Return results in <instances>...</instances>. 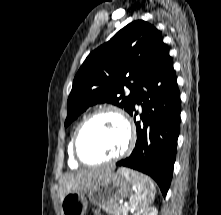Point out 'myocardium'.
I'll list each match as a JSON object with an SVG mask.
<instances>
[{"instance_id": "myocardium-1", "label": "myocardium", "mask_w": 221, "mask_h": 215, "mask_svg": "<svg viewBox=\"0 0 221 215\" xmlns=\"http://www.w3.org/2000/svg\"><path fill=\"white\" fill-rule=\"evenodd\" d=\"M105 113L114 114L122 122V124L126 130L125 145L120 152H118L117 154H115L107 159L100 160V161H88L81 155V152L79 149V142H80L81 135H82L84 129L87 127V125L92 120H94L96 117H98L102 114H105ZM135 140H136V131H135L134 125L132 124V122L129 119V117L127 116V114L122 109H120L116 106L107 105V106L100 107V108L96 109L95 111H93L92 113H90L80 123V125L78 126V128L73 136V139H72V152H73V156H74L75 160L79 164H82L85 166L103 165V164L115 162V161L125 157L126 155H128L132 151V149L135 145Z\"/></svg>"}]
</instances>
